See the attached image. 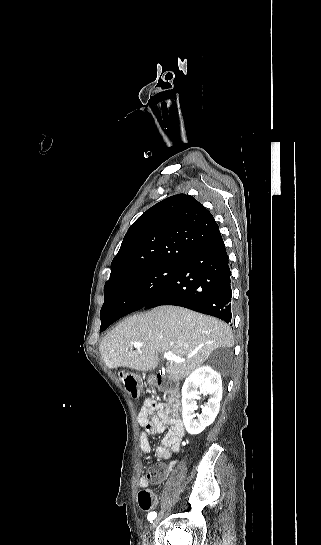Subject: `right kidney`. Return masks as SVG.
Masks as SVG:
<instances>
[{
	"mask_svg": "<svg viewBox=\"0 0 321 545\" xmlns=\"http://www.w3.org/2000/svg\"><path fill=\"white\" fill-rule=\"evenodd\" d=\"M200 387V393L210 395L208 403L202 407L201 415H196L198 407L194 401ZM222 399V381L220 373L211 367H199L191 373L182 387V417L187 433L199 435L206 427L214 423L219 411Z\"/></svg>",
	"mask_w": 321,
	"mask_h": 545,
	"instance_id": "1",
	"label": "right kidney"
}]
</instances>
